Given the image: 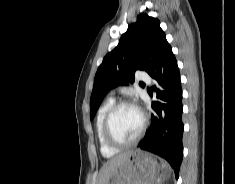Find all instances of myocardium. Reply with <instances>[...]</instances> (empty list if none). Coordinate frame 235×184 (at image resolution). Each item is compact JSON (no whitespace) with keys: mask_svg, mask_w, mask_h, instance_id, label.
Here are the masks:
<instances>
[{"mask_svg":"<svg viewBox=\"0 0 235 184\" xmlns=\"http://www.w3.org/2000/svg\"><path fill=\"white\" fill-rule=\"evenodd\" d=\"M123 107H133L137 109L142 116V125L138 134L129 141H122L116 138L113 133V128H112V121H113V117L115 113ZM148 123H149V118L147 114L136 104L130 101L117 102L110 107L104 120L103 132H104L105 141L111 148L116 149V150L135 145L144 136Z\"/></svg>","mask_w":235,"mask_h":184,"instance_id":"myocardium-1","label":"myocardium"}]
</instances>
